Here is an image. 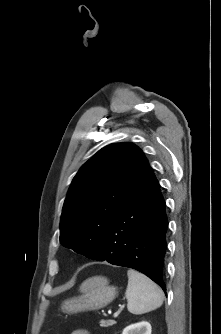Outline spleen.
Returning a JSON list of instances; mask_svg holds the SVG:
<instances>
[{
  "label": "spleen",
  "instance_id": "obj_1",
  "mask_svg": "<svg viewBox=\"0 0 221 334\" xmlns=\"http://www.w3.org/2000/svg\"><path fill=\"white\" fill-rule=\"evenodd\" d=\"M128 285L125 292L128 311L140 315L155 310L163 303L162 290L144 274L129 269Z\"/></svg>",
  "mask_w": 221,
  "mask_h": 334
}]
</instances>
